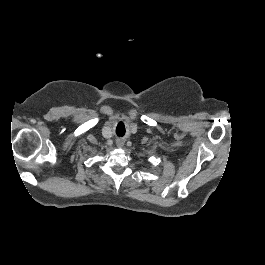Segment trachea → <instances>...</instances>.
<instances>
[{
    "label": "trachea",
    "instance_id": "obj_1",
    "mask_svg": "<svg viewBox=\"0 0 265 265\" xmlns=\"http://www.w3.org/2000/svg\"><path fill=\"white\" fill-rule=\"evenodd\" d=\"M116 133L119 137H122L125 134V130L124 131H116Z\"/></svg>",
    "mask_w": 265,
    "mask_h": 265
}]
</instances>
